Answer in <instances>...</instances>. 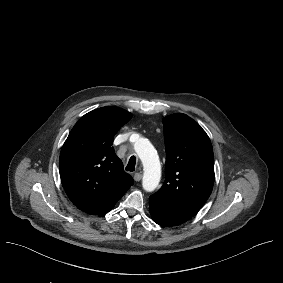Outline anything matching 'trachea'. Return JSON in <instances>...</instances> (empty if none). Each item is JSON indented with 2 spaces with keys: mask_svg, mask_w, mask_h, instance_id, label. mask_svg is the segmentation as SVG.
Here are the masks:
<instances>
[{
  "mask_svg": "<svg viewBox=\"0 0 283 283\" xmlns=\"http://www.w3.org/2000/svg\"><path fill=\"white\" fill-rule=\"evenodd\" d=\"M135 165H136V157L131 156L126 166V171L133 172L135 170Z\"/></svg>",
  "mask_w": 283,
  "mask_h": 283,
  "instance_id": "3493384b",
  "label": "trachea"
}]
</instances>
